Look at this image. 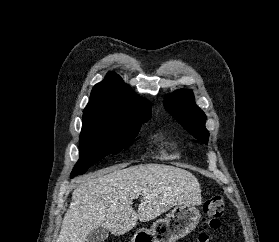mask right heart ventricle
Listing matches in <instances>:
<instances>
[{"label":"right heart ventricle","mask_w":279,"mask_h":242,"mask_svg":"<svg viewBox=\"0 0 279 242\" xmlns=\"http://www.w3.org/2000/svg\"><path fill=\"white\" fill-rule=\"evenodd\" d=\"M161 138V145L159 148V153L163 159L175 160L181 157V153L178 151L177 147L168 141L163 136Z\"/></svg>","instance_id":"right-heart-ventricle-1"}]
</instances>
